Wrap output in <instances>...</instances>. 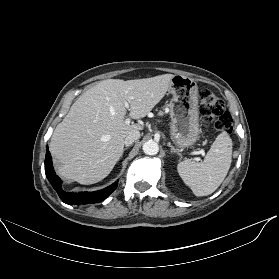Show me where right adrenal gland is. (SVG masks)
<instances>
[{
    "instance_id": "2a0ac1e0",
    "label": "right adrenal gland",
    "mask_w": 279,
    "mask_h": 279,
    "mask_svg": "<svg viewBox=\"0 0 279 279\" xmlns=\"http://www.w3.org/2000/svg\"><path fill=\"white\" fill-rule=\"evenodd\" d=\"M128 148H125L124 150H123V152L125 151V150H127ZM122 155H123V153H122ZM122 155H121V157H122Z\"/></svg>"
}]
</instances>
